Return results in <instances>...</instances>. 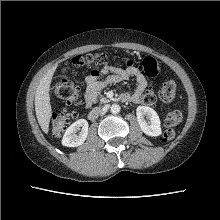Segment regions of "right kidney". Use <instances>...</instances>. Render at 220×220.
I'll use <instances>...</instances> for the list:
<instances>
[{
  "label": "right kidney",
  "mask_w": 220,
  "mask_h": 220,
  "mask_svg": "<svg viewBox=\"0 0 220 220\" xmlns=\"http://www.w3.org/2000/svg\"><path fill=\"white\" fill-rule=\"evenodd\" d=\"M79 135L77 131L80 130ZM88 135V122L85 119H79L71 124L65 131L62 138V145L66 147H78L82 145Z\"/></svg>",
  "instance_id": "obj_1"
}]
</instances>
